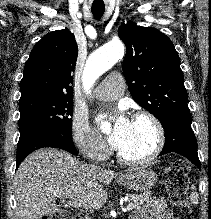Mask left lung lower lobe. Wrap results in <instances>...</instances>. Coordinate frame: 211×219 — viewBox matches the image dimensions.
<instances>
[{"mask_svg": "<svg viewBox=\"0 0 211 219\" xmlns=\"http://www.w3.org/2000/svg\"><path fill=\"white\" fill-rule=\"evenodd\" d=\"M165 144L159 155L170 152L178 153L200 168L197 143L191 128V114H175L163 124Z\"/></svg>", "mask_w": 211, "mask_h": 219, "instance_id": "1", "label": "left lung lower lobe"}]
</instances>
